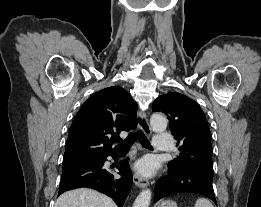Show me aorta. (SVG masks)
Returning <instances> with one entry per match:
<instances>
[{
	"mask_svg": "<svg viewBox=\"0 0 261 207\" xmlns=\"http://www.w3.org/2000/svg\"><path fill=\"white\" fill-rule=\"evenodd\" d=\"M150 125L156 132H162L167 128V119L165 116L155 113L151 116ZM151 191L143 190L136 198L133 207H149L151 201Z\"/></svg>",
	"mask_w": 261,
	"mask_h": 207,
	"instance_id": "762f6f07",
	"label": "aorta"
}]
</instances>
